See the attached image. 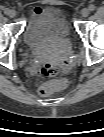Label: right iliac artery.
Segmentation results:
<instances>
[{
    "mask_svg": "<svg viewBox=\"0 0 104 137\" xmlns=\"http://www.w3.org/2000/svg\"><path fill=\"white\" fill-rule=\"evenodd\" d=\"M3 11H4L5 14H7L8 13V8H3Z\"/></svg>",
    "mask_w": 104,
    "mask_h": 137,
    "instance_id": "right-iliac-artery-1",
    "label": "right iliac artery"
}]
</instances>
